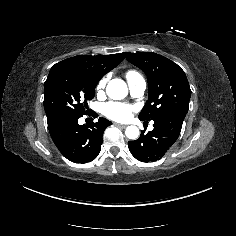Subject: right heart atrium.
<instances>
[{
	"label": "right heart atrium",
	"instance_id": "obj_1",
	"mask_svg": "<svg viewBox=\"0 0 236 236\" xmlns=\"http://www.w3.org/2000/svg\"><path fill=\"white\" fill-rule=\"evenodd\" d=\"M105 85H106V79L103 78L102 80L99 81V83L97 84V87H96V93L98 95L103 93Z\"/></svg>",
	"mask_w": 236,
	"mask_h": 236
}]
</instances>
